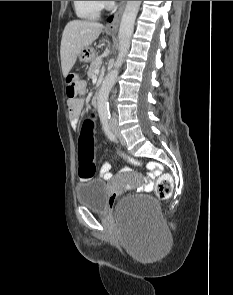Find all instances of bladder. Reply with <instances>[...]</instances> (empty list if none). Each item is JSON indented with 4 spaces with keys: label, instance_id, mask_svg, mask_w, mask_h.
<instances>
[{
    "label": "bladder",
    "instance_id": "obj_1",
    "mask_svg": "<svg viewBox=\"0 0 233 295\" xmlns=\"http://www.w3.org/2000/svg\"><path fill=\"white\" fill-rule=\"evenodd\" d=\"M77 202L89 210L105 213L109 210L108 187L101 179H88L76 186ZM121 211L126 214L135 213L146 220L159 217V204L150 195H134L121 203Z\"/></svg>",
    "mask_w": 233,
    "mask_h": 295
}]
</instances>
